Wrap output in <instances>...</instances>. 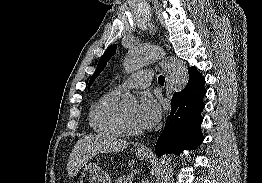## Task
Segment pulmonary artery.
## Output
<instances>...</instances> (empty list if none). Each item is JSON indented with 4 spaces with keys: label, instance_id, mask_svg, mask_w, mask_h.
<instances>
[{
    "label": "pulmonary artery",
    "instance_id": "e3ab8cb5",
    "mask_svg": "<svg viewBox=\"0 0 262 183\" xmlns=\"http://www.w3.org/2000/svg\"><path fill=\"white\" fill-rule=\"evenodd\" d=\"M152 71L142 70L131 75L122 84L114 88L116 91H121L124 88H146L150 85L152 80Z\"/></svg>",
    "mask_w": 262,
    "mask_h": 183
}]
</instances>
